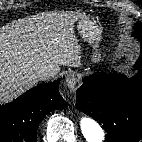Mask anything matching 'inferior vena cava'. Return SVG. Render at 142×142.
I'll list each match as a JSON object with an SVG mask.
<instances>
[{
  "instance_id": "obj_1",
  "label": "inferior vena cava",
  "mask_w": 142,
  "mask_h": 142,
  "mask_svg": "<svg viewBox=\"0 0 142 142\" xmlns=\"http://www.w3.org/2000/svg\"><path fill=\"white\" fill-rule=\"evenodd\" d=\"M57 72L52 67H42L36 71V76L39 80H46L54 77Z\"/></svg>"
}]
</instances>
